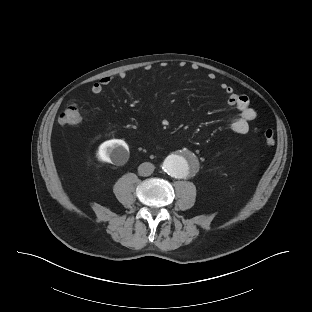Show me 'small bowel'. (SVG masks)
Listing matches in <instances>:
<instances>
[{
  "label": "small bowel",
  "mask_w": 312,
  "mask_h": 312,
  "mask_svg": "<svg viewBox=\"0 0 312 312\" xmlns=\"http://www.w3.org/2000/svg\"><path fill=\"white\" fill-rule=\"evenodd\" d=\"M126 74L120 72L116 75H108L102 77L91 86V92L94 95H100L103 92L104 87L109 85L115 78H124ZM210 79H213L215 75L210 73L208 75ZM222 91L227 95V103L229 106L235 108L239 114L231 120V130L236 134H246L250 128V122H252L256 116V111L250 106V100L246 95L237 94L233 88L225 83L221 84Z\"/></svg>",
  "instance_id": "small-bowel-1"
}]
</instances>
